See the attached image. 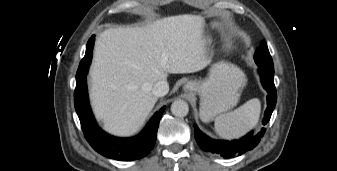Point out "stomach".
<instances>
[{"label":"stomach","instance_id":"1","mask_svg":"<svg viewBox=\"0 0 337 171\" xmlns=\"http://www.w3.org/2000/svg\"><path fill=\"white\" fill-rule=\"evenodd\" d=\"M245 84V74L238 67L220 62L212 66L208 78L188 82L185 90L200 95L199 115L203 122H209L237 105Z\"/></svg>","mask_w":337,"mask_h":171}]
</instances>
